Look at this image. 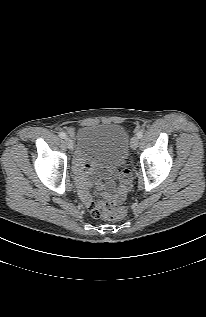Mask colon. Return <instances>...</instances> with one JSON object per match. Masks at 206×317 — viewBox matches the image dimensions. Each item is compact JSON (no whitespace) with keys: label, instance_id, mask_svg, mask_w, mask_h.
<instances>
[{"label":"colon","instance_id":"obj_1","mask_svg":"<svg viewBox=\"0 0 206 317\" xmlns=\"http://www.w3.org/2000/svg\"><path fill=\"white\" fill-rule=\"evenodd\" d=\"M87 207L95 218L117 221L126 215V209L123 206H115L109 199L92 198Z\"/></svg>","mask_w":206,"mask_h":317}]
</instances>
